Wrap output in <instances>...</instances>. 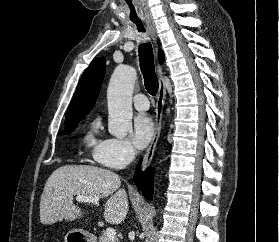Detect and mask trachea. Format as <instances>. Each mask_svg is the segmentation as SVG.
<instances>
[{"instance_id": "obj_1", "label": "trachea", "mask_w": 279, "mask_h": 242, "mask_svg": "<svg viewBox=\"0 0 279 242\" xmlns=\"http://www.w3.org/2000/svg\"><path fill=\"white\" fill-rule=\"evenodd\" d=\"M139 31L145 32L141 21H133ZM139 61L142 74L144 76V85L151 95H155L159 88V82L155 73L154 55L150 42L140 44Z\"/></svg>"}]
</instances>
